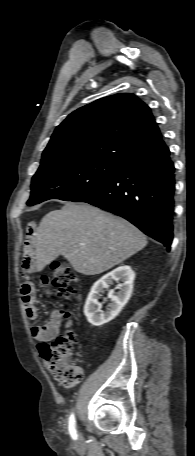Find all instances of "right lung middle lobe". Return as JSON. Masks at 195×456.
<instances>
[{
    "label": "right lung middle lobe",
    "instance_id": "obj_1",
    "mask_svg": "<svg viewBox=\"0 0 195 456\" xmlns=\"http://www.w3.org/2000/svg\"><path fill=\"white\" fill-rule=\"evenodd\" d=\"M122 164L91 158H70L40 165L32 178L28 205L49 199L73 201L110 179Z\"/></svg>",
    "mask_w": 195,
    "mask_h": 456
}]
</instances>
